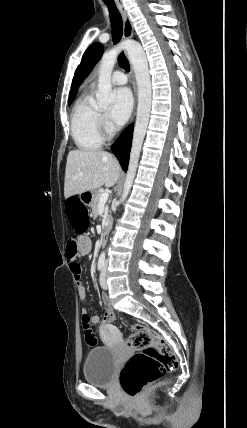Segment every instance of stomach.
Masks as SVG:
<instances>
[{
  "label": "stomach",
  "instance_id": "0dacf381",
  "mask_svg": "<svg viewBox=\"0 0 247 428\" xmlns=\"http://www.w3.org/2000/svg\"><path fill=\"white\" fill-rule=\"evenodd\" d=\"M81 195V199L83 200V198L85 200H83L87 205H92L93 203V199H94V195H95V190H91V191H86L80 194Z\"/></svg>",
  "mask_w": 247,
  "mask_h": 428
}]
</instances>
